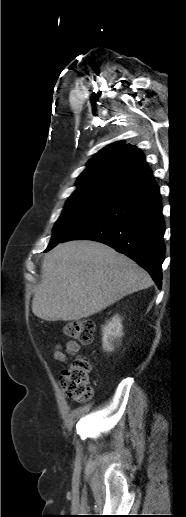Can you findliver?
<instances>
[{"label": "liver", "instance_id": "liver-1", "mask_svg": "<svg viewBox=\"0 0 186 517\" xmlns=\"http://www.w3.org/2000/svg\"><path fill=\"white\" fill-rule=\"evenodd\" d=\"M150 275L127 256L95 241L57 245L44 258L32 311L46 321H72L100 312L152 285Z\"/></svg>", "mask_w": 186, "mask_h": 517}]
</instances>
